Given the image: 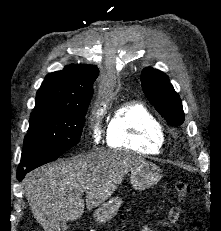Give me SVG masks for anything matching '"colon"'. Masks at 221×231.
I'll use <instances>...</instances> for the list:
<instances>
[{
  "label": "colon",
  "mask_w": 221,
  "mask_h": 231,
  "mask_svg": "<svg viewBox=\"0 0 221 231\" xmlns=\"http://www.w3.org/2000/svg\"><path fill=\"white\" fill-rule=\"evenodd\" d=\"M190 192L191 188L189 184L185 182H177L175 184L176 202L167 213L165 220L166 223H174L179 219L182 205L184 204L185 199L190 194Z\"/></svg>",
  "instance_id": "colon-1"
}]
</instances>
